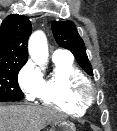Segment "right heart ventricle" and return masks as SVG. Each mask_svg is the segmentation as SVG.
<instances>
[{"label":"right heart ventricle","mask_w":117,"mask_h":131,"mask_svg":"<svg viewBox=\"0 0 117 131\" xmlns=\"http://www.w3.org/2000/svg\"><path fill=\"white\" fill-rule=\"evenodd\" d=\"M85 79L71 58L53 59L52 71L42 77L37 98L44 105L73 116H82L92 104L90 99L78 91L79 85Z\"/></svg>","instance_id":"right-heart-ventricle-1"}]
</instances>
